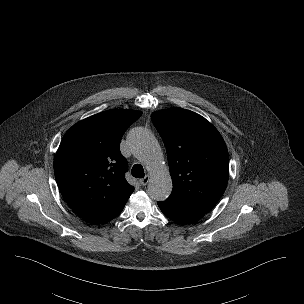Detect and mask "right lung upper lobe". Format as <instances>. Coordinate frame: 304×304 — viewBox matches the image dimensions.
<instances>
[{"mask_svg": "<svg viewBox=\"0 0 304 304\" xmlns=\"http://www.w3.org/2000/svg\"><path fill=\"white\" fill-rule=\"evenodd\" d=\"M141 114L130 109L93 115L73 125L60 143L54 158L57 184L70 208L92 224L114 217L134 190L125 179L120 141Z\"/></svg>", "mask_w": 304, "mask_h": 304, "instance_id": "right-lung-upper-lobe-1", "label": "right lung upper lobe"}]
</instances>
